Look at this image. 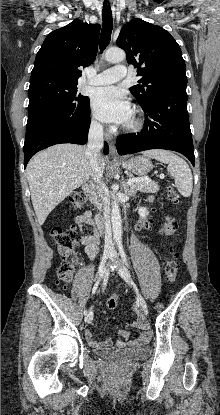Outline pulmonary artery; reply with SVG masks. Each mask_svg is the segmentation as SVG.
<instances>
[{"mask_svg": "<svg viewBox=\"0 0 220 415\" xmlns=\"http://www.w3.org/2000/svg\"><path fill=\"white\" fill-rule=\"evenodd\" d=\"M126 77V67L124 65H116L110 69H106L88 80L91 85H107L115 83Z\"/></svg>", "mask_w": 220, "mask_h": 415, "instance_id": "e3ab8cb5", "label": "pulmonary artery"}]
</instances>
